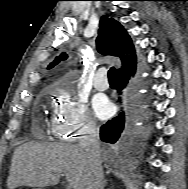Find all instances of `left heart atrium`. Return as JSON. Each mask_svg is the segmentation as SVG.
<instances>
[{"instance_id":"39dd6f15","label":"left heart atrium","mask_w":188,"mask_h":189,"mask_svg":"<svg viewBox=\"0 0 188 189\" xmlns=\"http://www.w3.org/2000/svg\"><path fill=\"white\" fill-rule=\"evenodd\" d=\"M92 104L95 114L100 119H106L111 116L113 112V107L105 96L103 95L95 96Z\"/></svg>"}]
</instances>
